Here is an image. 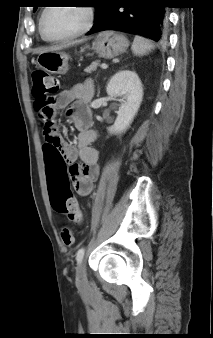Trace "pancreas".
I'll return each instance as SVG.
<instances>
[{
    "label": "pancreas",
    "instance_id": "cf45deb5",
    "mask_svg": "<svg viewBox=\"0 0 213 338\" xmlns=\"http://www.w3.org/2000/svg\"><path fill=\"white\" fill-rule=\"evenodd\" d=\"M97 63L96 62H93L89 67H87V68H85V72L86 73H91V72H93V71H95L96 70V68H97Z\"/></svg>",
    "mask_w": 213,
    "mask_h": 338
}]
</instances>
